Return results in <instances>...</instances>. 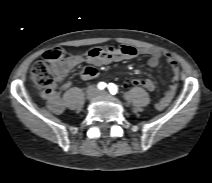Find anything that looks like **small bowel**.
Instances as JSON below:
<instances>
[{"label": "small bowel", "mask_w": 212, "mask_h": 183, "mask_svg": "<svg viewBox=\"0 0 212 183\" xmlns=\"http://www.w3.org/2000/svg\"><path fill=\"white\" fill-rule=\"evenodd\" d=\"M139 55L149 56L148 65L153 68L159 65L160 59L165 55L168 63L171 66L173 84L165 92L164 96L155 104V108L157 110H163L170 104L176 93L177 81L179 78V68L173 55L164 53L158 48H135L129 45H122L119 47H94L85 55H71L58 62L54 67L55 79L60 88L67 89L70 87L71 82L65 79L66 74L82 62H88L91 65L82 70L81 78L83 80H91L98 75V71L95 66L128 60ZM147 80L150 81V87L148 90L153 91L155 89L154 81L150 78H147ZM41 97L46 101L48 108L53 113L59 114L65 109L64 101L55 87L44 89L41 92Z\"/></svg>", "instance_id": "small-bowel-1"}]
</instances>
